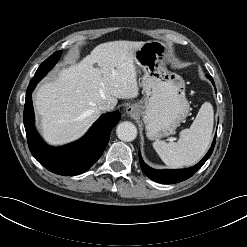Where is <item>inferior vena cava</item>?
Here are the masks:
<instances>
[{
  "instance_id": "obj_1",
  "label": "inferior vena cava",
  "mask_w": 247,
  "mask_h": 247,
  "mask_svg": "<svg viewBox=\"0 0 247 247\" xmlns=\"http://www.w3.org/2000/svg\"><path fill=\"white\" fill-rule=\"evenodd\" d=\"M99 109L101 111H104V112L105 111H110V110L113 109V106L110 103H104V104H102V105L99 106Z\"/></svg>"
}]
</instances>
